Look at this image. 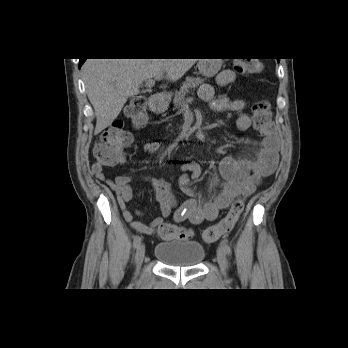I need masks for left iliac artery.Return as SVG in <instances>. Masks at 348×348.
Here are the masks:
<instances>
[{
  "instance_id": "left-iliac-artery-1",
  "label": "left iliac artery",
  "mask_w": 348,
  "mask_h": 348,
  "mask_svg": "<svg viewBox=\"0 0 348 348\" xmlns=\"http://www.w3.org/2000/svg\"><path fill=\"white\" fill-rule=\"evenodd\" d=\"M221 246H222V248H223V250H224V252L227 254V255H231V248H230V246L226 243V242H222L221 243Z\"/></svg>"
}]
</instances>
